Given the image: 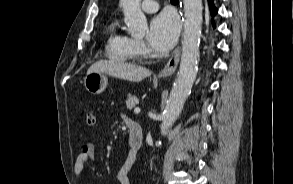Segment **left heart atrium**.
<instances>
[{"instance_id": "39dd6f15", "label": "left heart atrium", "mask_w": 293, "mask_h": 184, "mask_svg": "<svg viewBox=\"0 0 293 184\" xmlns=\"http://www.w3.org/2000/svg\"><path fill=\"white\" fill-rule=\"evenodd\" d=\"M179 30L178 18L170 12H163L154 17L150 23L149 43L155 50L165 52L175 44Z\"/></svg>"}]
</instances>
